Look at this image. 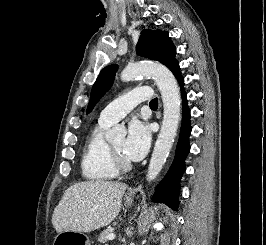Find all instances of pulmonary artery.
<instances>
[{
  "mask_svg": "<svg viewBox=\"0 0 266 245\" xmlns=\"http://www.w3.org/2000/svg\"><path fill=\"white\" fill-rule=\"evenodd\" d=\"M136 90L127 91V96H119L118 100H112V103L100 112L98 120L109 124L115 123L125 117L138 103L148 101V96L151 95L150 86H137Z\"/></svg>",
  "mask_w": 266,
  "mask_h": 245,
  "instance_id": "pulmonary-artery-1",
  "label": "pulmonary artery"
}]
</instances>
